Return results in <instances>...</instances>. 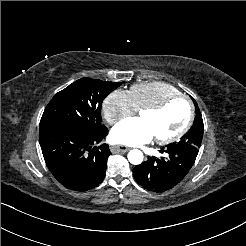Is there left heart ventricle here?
Returning <instances> with one entry per match:
<instances>
[{"label":"left heart ventricle","mask_w":246,"mask_h":246,"mask_svg":"<svg viewBox=\"0 0 246 246\" xmlns=\"http://www.w3.org/2000/svg\"><path fill=\"white\" fill-rule=\"evenodd\" d=\"M188 106L182 99H177L159 113L142 112L139 119L152 130L154 137H168L177 132L185 123Z\"/></svg>","instance_id":"obj_1"}]
</instances>
